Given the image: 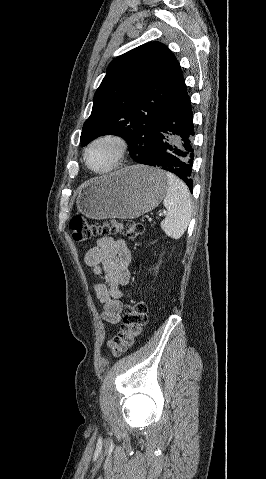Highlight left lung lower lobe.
<instances>
[{
    "label": "left lung lower lobe",
    "instance_id": "0a47b994",
    "mask_svg": "<svg viewBox=\"0 0 266 479\" xmlns=\"http://www.w3.org/2000/svg\"><path fill=\"white\" fill-rule=\"evenodd\" d=\"M190 104L184 82L159 121L150 155L143 164L174 173L187 184L192 192L194 129Z\"/></svg>",
    "mask_w": 266,
    "mask_h": 479
}]
</instances>
